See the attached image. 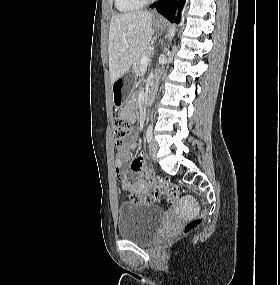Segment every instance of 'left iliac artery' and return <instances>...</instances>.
Returning <instances> with one entry per match:
<instances>
[{
	"label": "left iliac artery",
	"mask_w": 280,
	"mask_h": 285,
	"mask_svg": "<svg viewBox=\"0 0 280 285\" xmlns=\"http://www.w3.org/2000/svg\"><path fill=\"white\" fill-rule=\"evenodd\" d=\"M146 139L148 142L152 140V126L149 125L146 131Z\"/></svg>",
	"instance_id": "1"
}]
</instances>
